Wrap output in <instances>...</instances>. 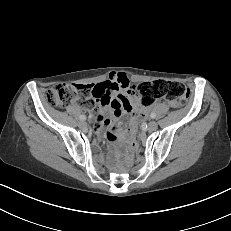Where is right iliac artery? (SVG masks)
Masks as SVG:
<instances>
[{"instance_id": "obj_1", "label": "right iliac artery", "mask_w": 231, "mask_h": 231, "mask_svg": "<svg viewBox=\"0 0 231 231\" xmlns=\"http://www.w3.org/2000/svg\"><path fill=\"white\" fill-rule=\"evenodd\" d=\"M79 119L82 120V121H84V120H86V116L81 115V116L79 117Z\"/></svg>"}]
</instances>
